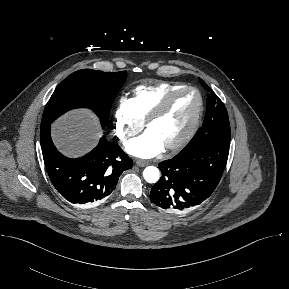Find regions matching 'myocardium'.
<instances>
[{"label":"myocardium","mask_w":289,"mask_h":289,"mask_svg":"<svg viewBox=\"0 0 289 289\" xmlns=\"http://www.w3.org/2000/svg\"><path fill=\"white\" fill-rule=\"evenodd\" d=\"M191 91L194 92L197 95L198 98V108L196 111V114L194 116V119L189 127V129L186 131V133L180 138L177 142L169 144L165 146L164 148L168 151H176L184 147L195 135L197 132V129L199 127L203 110H204V100L202 97L201 92L193 86H187L184 85L180 88H177L171 92H169L163 99L162 101L154 108V110L147 116L145 120V128L148 129L149 126L159 119L168 109L172 101L174 100L175 97L180 95L181 93Z\"/></svg>","instance_id":"f54148a6"}]
</instances>
